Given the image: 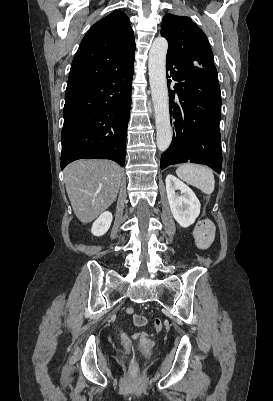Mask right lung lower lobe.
Wrapping results in <instances>:
<instances>
[{
  "instance_id": "obj_1",
  "label": "right lung lower lobe",
  "mask_w": 273,
  "mask_h": 401,
  "mask_svg": "<svg viewBox=\"0 0 273 401\" xmlns=\"http://www.w3.org/2000/svg\"><path fill=\"white\" fill-rule=\"evenodd\" d=\"M133 62L65 95L61 169L81 158L111 159L124 166Z\"/></svg>"
}]
</instances>
